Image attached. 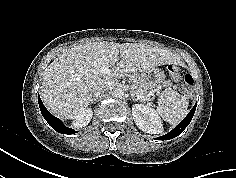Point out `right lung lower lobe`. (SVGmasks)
I'll return each instance as SVG.
<instances>
[{
	"mask_svg": "<svg viewBox=\"0 0 236 178\" xmlns=\"http://www.w3.org/2000/svg\"><path fill=\"white\" fill-rule=\"evenodd\" d=\"M38 102L43 117L54 130L63 134L76 133V131H74L73 129L65 127L60 119L54 117L50 112H48V110L43 105L39 95H38Z\"/></svg>",
	"mask_w": 236,
	"mask_h": 178,
	"instance_id": "1",
	"label": "right lung lower lobe"
}]
</instances>
